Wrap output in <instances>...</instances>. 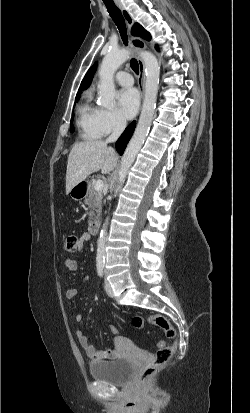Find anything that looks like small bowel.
<instances>
[{"mask_svg": "<svg viewBox=\"0 0 250 413\" xmlns=\"http://www.w3.org/2000/svg\"><path fill=\"white\" fill-rule=\"evenodd\" d=\"M89 240V236L84 234L80 239V245L82 246L85 241ZM65 268L68 272H74L78 268L77 261L72 258H67L65 260ZM89 277H86L85 280H88ZM78 294V290L76 288H69L65 292V297L68 300H73ZM83 319L82 314L78 313L75 316V320L77 322H81ZM76 337L81 345V347L86 352L87 356L93 361H101V360H109L114 359L119 353V345L123 341V338L115 339V348L106 349V350H99L96 349L89 340L88 335L82 328L76 330Z\"/></svg>", "mask_w": 250, "mask_h": 413, "instance_id": "1", "label": "small bowel"}]
</instances>
